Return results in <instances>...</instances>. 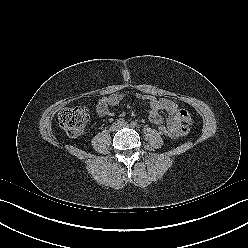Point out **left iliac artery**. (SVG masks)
<instances>
[{
    "mask_svg": "<svg viewBox=\"0 0 248 248\" xmlns=\"http://www.w3.org/2000/svg\"><path fill=\"white\" fill-rule=\"evenodd\" d=\"M131 125H132L133 127H135V126H137V122H136V121H132V122H131Z\"/></svg>",
    "mask_w": 248,
    "mask_h": 248,
    "instance_id": "obj_1",
    "label": "left iliac artery"
}]
</instances>
